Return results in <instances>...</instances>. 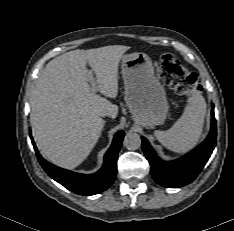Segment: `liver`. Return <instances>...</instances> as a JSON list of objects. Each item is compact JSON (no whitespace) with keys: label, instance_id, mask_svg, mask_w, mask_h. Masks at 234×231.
Listing matches in <instances>:
<instances>
[{"label":"liver","instance_id":"liver-1","mask_svg":"<svg viewBox=\"0 0 234 231\" xmlns=\"http://www.w3.org/2000/svg\"><path fill=\"white\" fill-rule=\"evenodd\" d=\"M128 49L123 45L77 49L46 65L33 91L30 122L36 145L47 160L73 169L90 154L103 128L100 113L115 118L118 106L91 92L88 75L95 73L101 94L116 98L118 66Z\"/></svg>","mask_w":234,"mask_h":231}]
</instances>
